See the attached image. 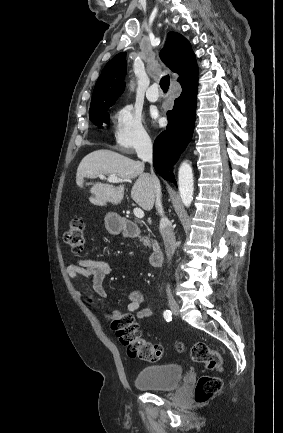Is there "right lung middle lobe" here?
Listing matches in <instances>:
<instances>
[{"instance_id": "dd1d6c3e", "label": "right lung middle lobe", "mask_w": 283, "mask_h": 433, "mask_svg": "<svg viewBox=\"0 0 283 433\" xmlns=\"http://www.w3.org/2000/svg\"><path fill=\"white\" fill-rule=\"evenodd\" d=\"M111 106L112 105H109L90 112L89 114L90 120L97 126H102L103 123H108L109 122L108 110Z\"/></svg>"}]
</instances>
